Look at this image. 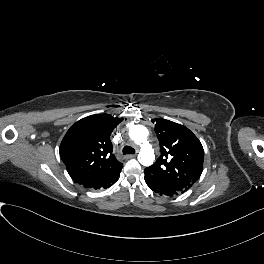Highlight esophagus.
I'll list each match as a JSON object with an SVG mask.
<instances>
[{
    "label": "esophagus",
    "instance_id": "esophagus-1",
    "mask_svg": "<svg viewBox=\"0 0 264 264\" xmlns=\"http://www.w3.org/2000/svg\"><path fill=\"white\" fill-rule=\"evenodd\" d=\"M128 159H131V158H135L136 157V154H129L126 156Z\"/></svg>",
    "mask_w": 264,
    "mask_h": 264
}]
</instances>
